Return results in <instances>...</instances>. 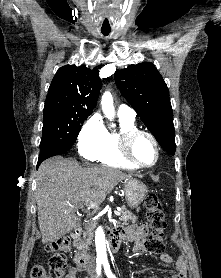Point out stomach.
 Here are the masks:
<instances>
[{"label": "stomach", "mask_w": 221, "mask_h": 278, "mask_svg": "<svg viewBox=\"0 0 221 278\" xmlns=\"http://www.w3.org/2000/svg\"><path fill=\"white\" fill-rule=\"evenodd\" d=\"M125 199L131 208H136L146 197L148 189L141 181L128 178L124 180Z\"/></svg>", "instance_id": "stomach-1"}]
</instances>
